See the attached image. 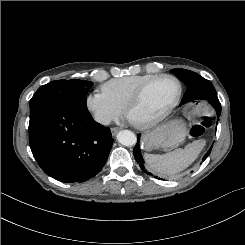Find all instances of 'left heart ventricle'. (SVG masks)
<instances>
[{"label": "left heart ventricle", "instance_id": "1", "mask_svg": "<svg viewBox=\"0 0 245 245\" xmlns=\"http://www.w3.org/2000/svg\"><path fill=\"white\" fill-rule=\"evenodd\" d=\"M178 93V84L171 79L159 80L145 91L140 103L131 111L133 122L143 123L164 113Z\"/></svg>", "mask_w": 245, "mask_h": 245}]
</instances>
